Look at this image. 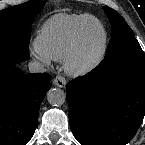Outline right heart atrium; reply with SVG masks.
<instances>
[{"label":"right heart atrium","instance_id":"d8ad5b80","mask_svg":"<svg viewBox=\"0 0 145 145\" xmlns=\"http://www.w3.org/2000/svg\"><path fill=\"white\" fill-rule=\"evenodd\" d=\"M31 55L37 61H39L41 64H43L45 66H48L51 63V59L47 55H45L42 52H40L39 50H37L36 48L31 51Z\"/></svg>","mask_w":145,"mask_h":145}]
</instances>
